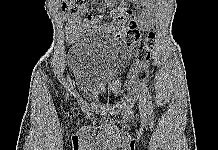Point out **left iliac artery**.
Segmentation results:
<instances>
[{"instance_id":"left-iliac-artery-1","label":"left iliac artery","mask_w":218,"mask_h":150,"mask_svg":"<svg viewBox=\"0 0 218 150\" xmlns=\"http://www.w3.org/2000/svg\"><path fill=\"white\" fill-rule=\"evenodd\" d=\"M141 91H142V94H143L144 101H145V103L147 105L148 112L151 115L152 112H153L152 99H151V95L149 94L147 85L145 83L142 85Z\"/></svg>"}]
</instances>
